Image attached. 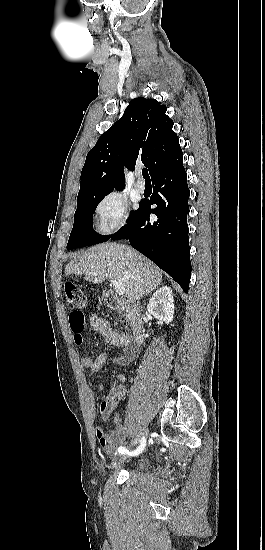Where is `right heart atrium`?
<instances>
[{
  "label": "right heart atrium",
  "instance_id": "d8ad5b80",
  "mask_svg": "<svg viewBox=\"0 0 265 550\" xmlns=\"http://www.w3.org/2000/svg\"><path fill=\"white\" fill-rule=\"evenodd\" d=\"M96 215L101 233L112 234L127 224L128 203L120 192L111 191L98 202Z\"/></svg>",
  "mask_w": 265,
  "mask_h": 550
}]
</instances>
